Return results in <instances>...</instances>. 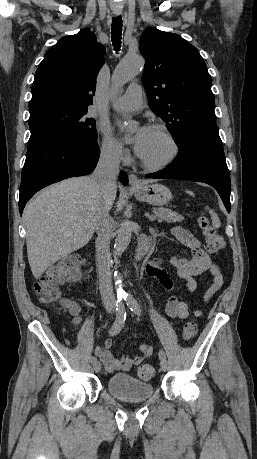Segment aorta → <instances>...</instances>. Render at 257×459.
Segmentation results:
<instances>
[{"label":"aorta","mask_w":257,"mask_h":459,"mask_svg":"<svg viewBox=\"0 0 257 459\" xmlns=\"http://www.w3.org/2000/svg\"><path fill=\"white\" fill-rule=\"evenodd\" d=\"M144 66V59L140 55H127L116 67L112 76V91L116 92L124 84L130 81L137 75ZM128 127L127 125H124ZM132 236V223L130 220L125 219L121 222L117 231V237L114 243V258L118 259L119 256L127 249ZM120 277H117V283H120ZM118 294H123V290L119 286Z\"/></svg>","instance_id":"aorta-1"}]
</instances>
